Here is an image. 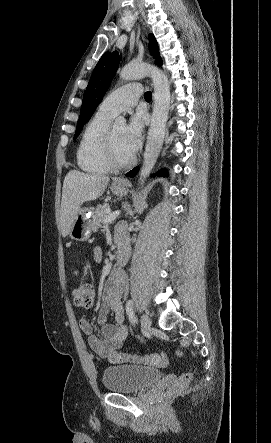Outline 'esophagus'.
<instances>
[{"label":"esophagus","mask_w":271,"mask_h":443,"mask_svg":"<svg viewBox=\"0 0 271 443\" xmlns=\"http://www.w3.org/2000/svg\"><path fill=\"white\" fill-rule=\"evenodd\" d=\"M151 85H152V84H151ZM118 183H123V184H125L126 182H119V181H118Z\"/></svg>","instance_id":"1"}]
</instances>
